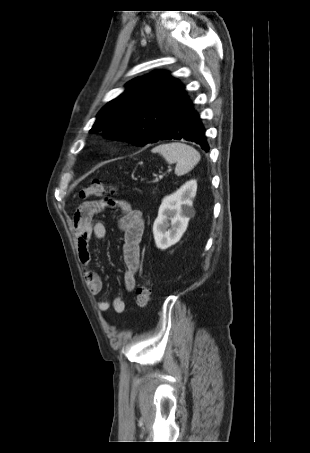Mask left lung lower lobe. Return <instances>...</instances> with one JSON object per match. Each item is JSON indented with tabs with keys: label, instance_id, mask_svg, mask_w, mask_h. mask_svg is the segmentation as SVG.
Returning <instances> with one entry per match:
<instances>
[{
	"label": "left lung lower lobe",
	"instance_id": "obj_1",
	"mask_svg": "<svg viewBox=\"0 0 310 453\" xmlns=\"http://www.w3.org/2000/svg\"><path fill=\"white\" fill-rule=\"evenodd\" d=\"M168 139H185L197 143L206 152L209 150L205 128L186 92L179 101L166 131L160 138V140Z\"/></svg>",
	"mask_w": 310,
	"mask_h": 453
}]
</instances>
